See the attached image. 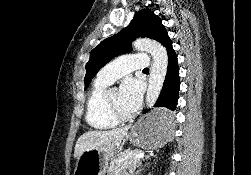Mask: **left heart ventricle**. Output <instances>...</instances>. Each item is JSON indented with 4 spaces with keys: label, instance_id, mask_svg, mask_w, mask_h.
I'll return each mask as SVG.
<instances>
[{
    "label": "left heart ventricle",
    "instance_id": "b2bd125f",
    "mask_svg": "<svg viewBox=\"0 0 251 175\" xmlns=\"http://www.w3.org/2000/svg\"><path fill=\"white\" fill-rule=\"evenodd\" d=\"M108 100H109V103H110L112 109L115 112L125 113V111L123 110V108H122V106L120 104L119 91L118 90L110 91L109 94H108Z\"/></svg>",
    "mask_w": 251,
    "mask_h": 175
}]
</instances>
